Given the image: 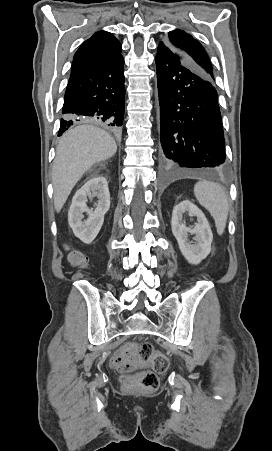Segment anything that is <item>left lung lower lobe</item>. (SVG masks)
<instances>
[{"label":"left lung lower lobe","instance_id":"0a47b994","mask_svg":"<svg viewBox=\"0 0 272 451\" xmlns=\"http://www.w3.org/2000/svg\"><path fill=\"white\" fill-rule=\"evenodd\" d=\"M155 61L163 166L223 171L225 140L214 82L165 41L159 43Z\"/></svg>","mask_w":272,"mask_h":451}]
</instances>
